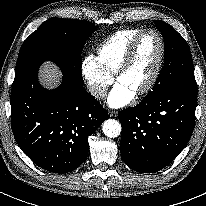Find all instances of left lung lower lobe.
Returning <instances> with one entry per match:
<instances>
[{"label": "left lung lower lobe", "mask_w": 206, "mask_h": 206, "mask_svg": "<svg viewBox=\"0 0 206 206\" xmlns=\"http://www.w3.org/2000/svg\"><path fill=\"white\" fill-rule=\"evenodd\" d=\"M196 102V86L183 85L120 111L123 161L140 173L157 172L169 165L191 137Z\"/></svg>", "instance_id": "0a47b994"}]
</instances>
